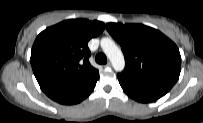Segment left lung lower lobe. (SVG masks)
<instances>
[{
	"instance_id": "0a47b994",
	"label": "left lung lower lobe",
	"mask_w": 203,
	"mask_h": 123,
	"mask_svg": "<svg viewBox=\"0 0 203 123\" xmlns=\"http://www.w3.org/2000/svg\"><path fill=\"white\" fill-rule=\"evenodd\" d=\"M117 78L125 93L132 99L141 103L156 101L167 93L166 91L125 79L119 75H117Z\"/></svg>"
}]
</instances>
